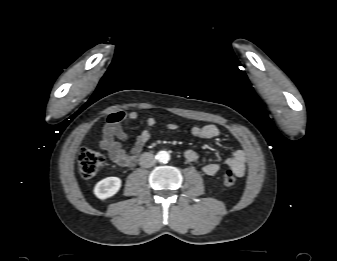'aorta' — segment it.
<instances>
[{
	"label": "aorta",
	"mask_w": 337,
	"mask_h": 261,
	"mask_svg": "<svg viewBox=\"0 0 337 261\" xmlns=\"http://www.w3.org/2000/svg\"><path fill=\"white\" fill-rule=\"evenodd\" d=\"M156 157L158 161L162 163H167L170 159V155L167 151H159Z\"/></svg>",
	"instance_id": "1"
}]
</instances>
